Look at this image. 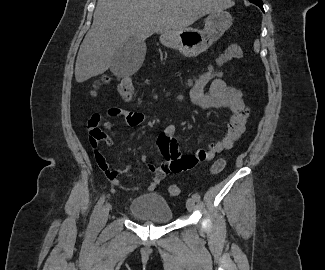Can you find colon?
<instances>
[{
  "mask_svg": "<svg viewBox=\"0 0 325 270\" xmlns=\"http://www.w3.org/2000/svg\"><path fill=\"white\" fill-rule=\"evenodd\" d=\"M243 57V51L242 48L237 44L230 45L223 53H221L212 63L207 65L204 69L197 71L195 74L191 75L184 83L183 85L179 86L176 89H171L167 91L164 95L165 97H177L178 95H181V91L185 88L191 89L196 84H199L203 77L208 74L209 72L214 71L216 68L226 64L230 60L233 59H241ZM111 78L109 76H103L98 82L96 83V86L101 83H109ZM117 90L119 93V96L125 100L130 101L134 97V83L131 78L129 77H123L120 78L117 85ZM92 94L95 95L96 91L93 90ZM153 100H157L160 98V95L154 94L151 97ZM88 134H89V141L93 148L97 147V144L101 140L107 139L106 133L99 127V124L97 123H88L87 126ZM226 165V160L224 158L218 159L211 167V173L212 174H218L220 173ZM169 194L171 196H178L181 192V189L177 185H171L169 186Z\"/></svg>",
  "mask_w": 325,
  "mask_h": 270,
  "instance_id": "1",
  "label": "colon"
}]
</instances>
